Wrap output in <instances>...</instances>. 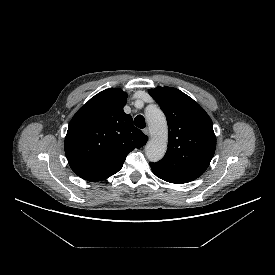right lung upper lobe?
Returning a JSON list of instances; mask_svg holds the SVG:
<instances>
[{"instance_id": "right-lung-upper-lobe-1", "label": "right lung upper lobe", "mask_w": 275, "mask_h": 275, "mask_svg": "<svg viewBox=\"0 0 275 275\" xmlns=\"http://www.w3.org/2000/svg\"><path fill=\"white\" fill-rule=\"evenodd\" d=\"M127 94L121 89L101 91L71 119L65 153L71 169L88 181H101L117 173L127 154L146 144L148 137L124 113Z\"/></svg>"}]
</instances>
